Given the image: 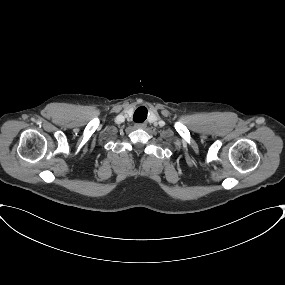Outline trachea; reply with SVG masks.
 Instances as JSON below:
<instances>
[{"instance_id":"obj_1","label":"trachea","mask_w":285,"mask_h":285,"mask_svg":"<svg viewBox=\"0 0 285 285\" xmlns=\"http://www.w3.org/2000/svg\"><path fill=\"white\" fill-rule=\"evenodd\" d=\"M147 118V108L141 106L134 112L133 120L135 122H144Z\"/></svg>"}]
</instances>
